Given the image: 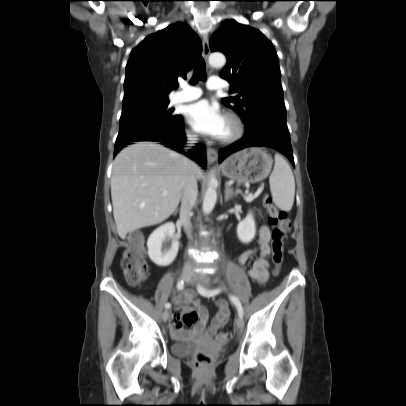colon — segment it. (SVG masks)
<instances>
[{
    "instance_id": "obj_1",
    "label": "colon",
    "mask_w": 406,
    "mask_h": 406,
    "mask_svg": "<svg viewBox=\"0 0 406 406\" xmlns=\"http://www.w3.org/2000/svg\"><path fill=\"white\" fill-rule=\"evenodd\" d=\"M265 208L268 213V221L273 227L272 231V258L275 265L274 275H278L283 261V248L287 240L289 221L284 211L279 210L272 204L269 197L264 198ZM121 267L124 278L129 285H138L144 281L147 275V265L145 261L144 241L140 234L130 235L129 244L123 253ZM195 312H174L171 318V325L176 329H182L184 324L190 325L196 320ZM229 332H220L216 339L219 343L229 341ZM210 358L199 354L196 364L199 367L208 365Z\"/></svg>"
}]
</instances>
